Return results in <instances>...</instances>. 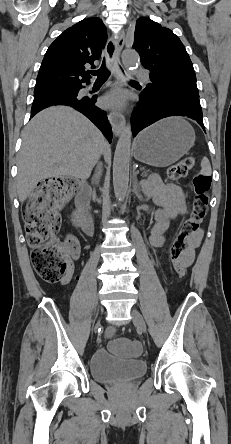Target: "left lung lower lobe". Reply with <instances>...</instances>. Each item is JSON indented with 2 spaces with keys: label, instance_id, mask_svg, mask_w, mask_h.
Instances as JSON below:
<instances>
[{
  "label": "left lung lower lobe",
  "instance_id": "obj_1",
  "mask_svg": "<svg viewBox=\"0 0 231 444\" xmlns=\"http://www.w3.org/2000/svg\"><path fill=\"white\" fill-rule=\"evenodd\" d=\"M138 107L132 115V131H139L152 123L169 116H187L196 120L204 129L202 108L199 99H186L173 95L141 92Z\"/></svg>",
  "mask_w": 231,
  "mask_h": 444
}]
</instances>
